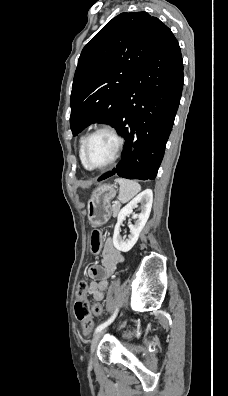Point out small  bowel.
I'll use <instances>...</instances> for the list:
<instances>
[{"mask_svg":"<svg viewBox=\"0 0 228 396\" xmlns=\"http://www.w3.org/2000/svg\"><path fill=\"white\" fill-rule=\"evenodd\" d=\"M123 262L124 257L108 238L102 250L101 264L93 265L88 270L92 281L88 285L87 293L93 296L96 301L104 300L109 278L116 271L117 266Z\"/></svg>","mask_w":228,"mask_h":396,"instance_id":"small-bowel-1","label":"small bowel"}]
</instances>
